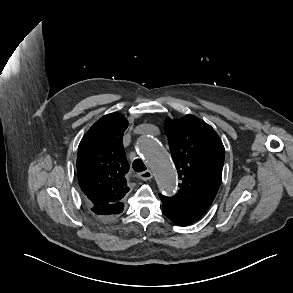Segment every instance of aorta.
<instances>
[{"mask_svg": "<svg viewBox=\"0 0 293 293\" xmlns=\"http://www.w3.org/2000/svg\"><path fill=\"white\" fill-rule=\"evenodd\" d=\"M145 161L154 170L159 190L168 196L176 191V169L167 151L152 136H142L137 145Z\"/></svg>", "mask_w": 293, "mask_h": 293, "instance_id": "obj_1", "label": "aorta"}]
</instances>
